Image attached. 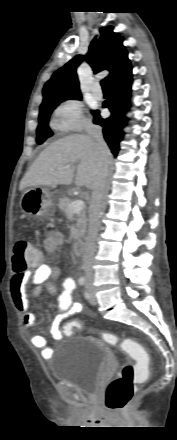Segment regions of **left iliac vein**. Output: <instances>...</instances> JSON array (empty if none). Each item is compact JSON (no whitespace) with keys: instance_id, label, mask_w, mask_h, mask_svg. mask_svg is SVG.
Listing matches in <instances>:
<instances>
[{"instance_id":"obj_1","label":"left iliac vein","mask_w":177,"mask_h":440,"mask_svg":"<svg viewBox=\"0 0 177 440\" xmlns=\"http://www.w3.org/2000/svg\"><path fill=\"white\" fill-rule=\"evenodd\" d=\"M89 302L94 305L97 302L94 290L90 284H87Z\"/></svg>"}]
</instances>
